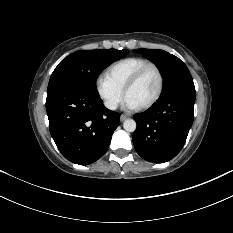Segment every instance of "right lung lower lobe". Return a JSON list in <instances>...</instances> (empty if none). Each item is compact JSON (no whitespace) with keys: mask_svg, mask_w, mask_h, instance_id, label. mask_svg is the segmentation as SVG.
<instances>
[{"mask_svg":"<svg viewBox=\"0 0 233 233\" xmlns=\"http://www.w3.org/2000/svg\"><path fill=\"white\" fill-rule=\"evenodd\" d=\"M46 110L59 151L79 165L101 158L120 124V114L108 110L99 95L75 87L48 89Z\"/></svg>","mask_w":233,"mask_h":233,"instance_id":"right-lung-lower-lobe-1","label":"right lung lower lobe"}]
</instances>
